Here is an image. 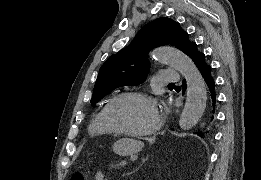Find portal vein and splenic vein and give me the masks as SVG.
I'll return each instance as SVG.
<instances>
[{
  "instance_id": "18ae733b",
  "label": "portal vein and splenic vein",
  "mask_w": 261,
  "mask_h": 180,
  "mask_svg": "<svg viewBox=\"0 0 261 180\" xmlns=\"http://www.w3.org/2000/svg\"><path fill=\"white\" fill-rule=\"evenodd\" d=\"M136 158H137V156H136ZM118 166L126 167L127 163L125 162V159H122V161H118Z\"/></svg>"
}]
</instances>
